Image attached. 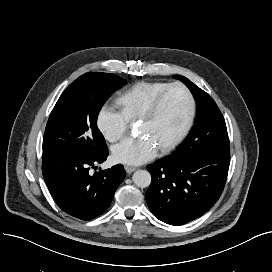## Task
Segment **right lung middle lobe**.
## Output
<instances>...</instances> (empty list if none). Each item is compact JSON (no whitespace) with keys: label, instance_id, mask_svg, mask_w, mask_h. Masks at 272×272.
Listing matches in <instances>:
<instances>
[{"label":"right lung middle lobe","instance_id":"1","mask_svg":"<svg viewBox=\"0 0 272 272\" xmlns=\"http://www.w3.org/2000/svg\"><path fill=\"white\" fill-rule=\"evenodd\" d=\"M126 81L114 74L89 72L62 93L52 110L43 138V153L68 151L92 154L107 148L97 128V115Z\"/></svg>","mask_w":272,"mask_h":272}]
</instances>
